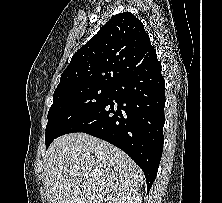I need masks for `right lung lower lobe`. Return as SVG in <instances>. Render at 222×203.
Returning <instances> with one entry per match:
<instances>
[{
	"label": "right lung lower lobe",
	"instance_id": "1",
	"mask_svg": "<svg viewBox=\"0 0 222 203\" xmlns=\"http://www.w3.org/2000/svg\"><path fill=\"white\" fill-rule=\"evenodd\" d=\"M165 93L157 58L111 86L108 99L63 130L83 132L127 153L142 169L150 190L162 156Z\"/></svg>",
	"mask_w": 222,
	"mask_h": 203
}]
</instances>
